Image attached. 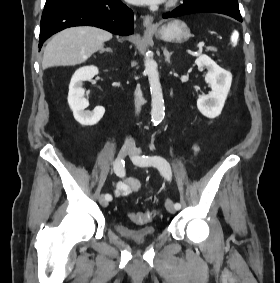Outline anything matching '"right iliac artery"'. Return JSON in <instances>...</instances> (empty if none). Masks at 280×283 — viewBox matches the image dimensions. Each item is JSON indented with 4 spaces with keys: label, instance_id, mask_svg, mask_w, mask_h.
<instances>
[{
    "label": "right iliac artery",
    "instance_id": "obj_1",
    "mask_svg": "<svg viewBox=\"0 0 280 283\" xmlns=\"http://www.w3.org/2000/svg\"><path fill=\"white\" fill-rule=\"evenodd\" d=\"M113 168H114V172L116 173L117 176H119L121 178L125 176L126 170H125V162H124L123 159H116L115 162H114ZM105 198L108 201L112 200V196L110 194H106Z\"/></svg>",
    "mask_w": 280,
    "mask_h": 283
}]
</instances>
